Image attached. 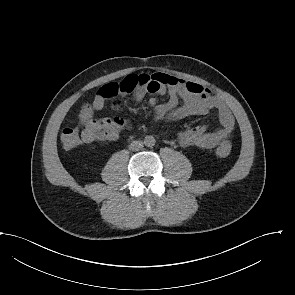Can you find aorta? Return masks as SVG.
I'll use <instances>...</instances> for the list:
<instances>
[{
    "label": "aorta",
    "mask_w": 295,
    "mask_h": 295,
    "mask_svg": "<svg viewBox=\"0 0 295 295\" xmlns=\"http://www.w3.org/2000/svg\"><path fill=\"white\" fill-rule=\"evenodd\" d=\"M144 144L149 147L154 146V144H155L154 137L153 136H146L144 139Z\"/></svg>",
    "instance_id": "obj_1"
}]
</instances>
